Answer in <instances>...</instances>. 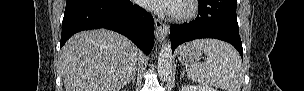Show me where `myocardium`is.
Returning <instances> with one entry per match:
<instances>
[{
	"label": "myocardium",
	"instance_id": "1",
	"mask_svg": "<svg viewBox=\"0 0 304 91\" xmlns=\"http://www.w3.org/2000/svg\"><path fill=\"white\" fill-rule=\"evenodd\" d=\"M197 1L182 0L178 4L176 12L173 14L176 20H187L192 18L197 13Z\"/></svg>",
	"mask_w": 304,
	"mask_h": 91
}]
</instances>
